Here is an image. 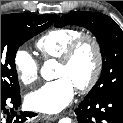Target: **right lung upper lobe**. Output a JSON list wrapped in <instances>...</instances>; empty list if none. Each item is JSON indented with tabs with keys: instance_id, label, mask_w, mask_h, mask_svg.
Listing matches in <instances>:
<instances>
[{
	"instance_id": "cb5924a9",
	"label": "right lung upper lobe",
	"mask_w": 123,
	"mask_h": 123,
	"mask_svg": "<svg viewBox=\"0 0 123 123\" xmlns=\"http://www.w3.org/2000/svg\"><path fill=\"white\" fill-rule=\"evenodd\" d=\"M21 14L33 15V14H27V13H21ZM48 16L52 19L53 22H55L59 18V16H57L55 14H50Z\"/></svg>"
}]
</instances>
